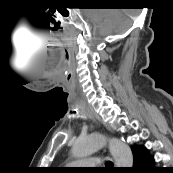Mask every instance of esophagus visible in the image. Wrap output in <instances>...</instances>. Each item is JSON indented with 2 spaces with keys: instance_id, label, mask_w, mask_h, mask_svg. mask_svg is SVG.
<instances>
[{
  "instance_id": "1",
  "label": "esophagus",
  "mask_w": 173,
  "mask_h": 173,
  "mask_svg": "<svg viewBox=\"0 0 173 173\" xmlns=\"http://www.w3.org/2000/svg\"><path fill=\"white\" fill-rule=\"evenodd\" d=\"M87 115L91 116V114L89 112H87Z\"/></svg>"
}]
</instances>
